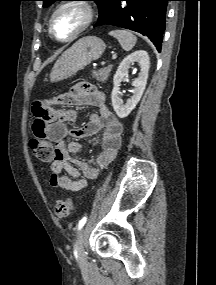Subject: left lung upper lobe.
Instances as JSON below:
<instances>
[{
    "label": "left lung upper lobe",
    "instance_id": "left-lung-upper-lobe-1",
    "mask_svg": "<svg viewBox=\"0 0 216 285\" xmlns=\"http://www.w3.org/2000/svg\"><path fill=\"white\" fill-rule=\"evenodd\" d=\"M43 1V7H48L55 1H60V0H41ZM96 2L99 8V19H101L110 9L112 3L114 0H90ZM98 19V20H99Z\"/></svg>",
    "mask_w": 216,
    "mask_h": 285
}]
</instances>
